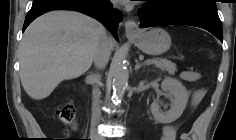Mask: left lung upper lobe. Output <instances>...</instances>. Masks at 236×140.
<instances>
[{
  "label": "left lung upper lobe",
  "instance_id": "1",
  "mask_svg": "<svg viewBox=\"0 0 236 140\" xmlns=\"http://www.w3.org/2000/svg\"><path fill=\"white\" fill-rule=\"evenodd\" d=\"M152 1H156V0H149L147 3H150ZM158 1H161L168 6H173L179 3H190V4H195V5H200V6L210 7V8H216L215 0H158Z\"/></svg>",
  "mask_w": 236,
  "mask_h": 140
}]
</instances>
